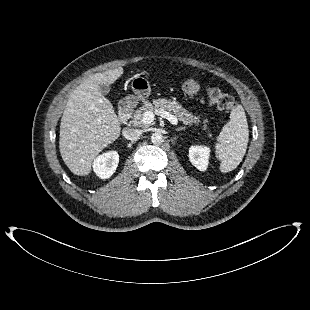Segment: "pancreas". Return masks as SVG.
Returning a JSON list of instances; mask_svg holds the SVG:
<instances>
[{"instance_id":"pancreas-1","label":"pancreas","mask_w":310,"mask_h":310,"mask_svg":"<svg viewBox=\"0 0 310 310\" xmlns=\"http://www.w3.org/2000/svg\"><path fill=\"white\" fill-rule=\"evenodd\" d=\"M153 108H159L169 113H172L176 118L182 121L185 125H192L193 123L198 125L200 118L187 111L182 105L176 101L167 99H154L153 103L145 101L140 108H138L133 116L131 123L134 127H143L146 124L142 122L143 114L146 111L153 110ZM207 120H204L203 130L207 129ZM210 136V134H209Z\"/></svg>"}]
</instances>
